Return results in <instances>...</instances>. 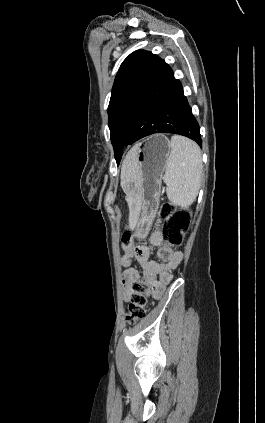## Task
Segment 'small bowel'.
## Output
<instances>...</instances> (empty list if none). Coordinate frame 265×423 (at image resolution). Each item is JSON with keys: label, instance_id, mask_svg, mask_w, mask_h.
Here are the masks:
<instances>
[{"label": "small bowel", "instance_id": "1", "mask_svg": "<svg viewBox=\"0 0 265 423\" xmlns=\"http://www.w3.org/2000/svg\"><path fill=\"white\" fill-rule=\"evenodd\" d=\"M161 242V232H152L150 235V243L153 246H158ZM149 254V248L146 246L133 247L130 252H124L122 257L124 270L121 283L123 297L126 301L130 299L133 286L140 282L147 286V295L155 299L160 298L166 285L172 280V272L179 266L183 259V254L179 251L161 253L160 261L150 260ZM134 258L142 268V275L132 264Z\"/></svg>", "mask_w": 265, "mask_h": 423}]
</instances>
